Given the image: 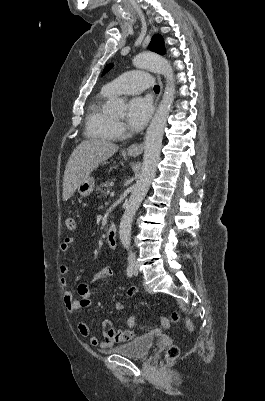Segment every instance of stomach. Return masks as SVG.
I'll return each mask as SVG.
<instances>
[{"mask_svg":"<svg viewBox=\"0 0 265 401\" xmlns=\"http://www.w3.org/2000/svg\"><path fill=\"white\" fill-rule=\"evenodd\" d=\"M131 156V154H130ZM95 186V180L93 176H85L84 180L78 184V192L81 196H89Z\"/></svg>","mask_w":265,"mask_h":401,"instance_id":"0dacf381","label":"stomach"}]
</instances>
